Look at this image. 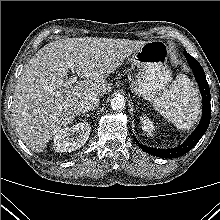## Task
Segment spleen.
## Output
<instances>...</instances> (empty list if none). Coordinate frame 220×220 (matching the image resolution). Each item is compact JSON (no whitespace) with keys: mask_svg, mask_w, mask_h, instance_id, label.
I'll return each mask as SVG.
<instances>
[{"mask_svg":"<svg viewBox=\"0 0 220 220\" xmlns=\"http://www.w3.org/2000/svg\"><path fill=\"white\" fill-rule=\"evenodd\" d=\"M153 106L180 130H190L201 112L198 90L184 74L177 75L169 90L157 98Z\"/></svg>","mask_w":220,"mask_h":220,"instance_id":"spleen-1","label":"spleen"}]
</instances>
